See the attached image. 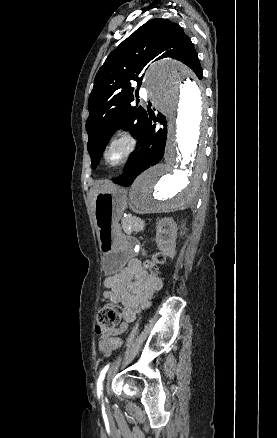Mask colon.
Here are the masks:
<instances>
[{
    "label": "colon",
    "instance_id": "1",
    "mask_svg": "<svg viewBox=\"0 0 277 438\" xmlns=\"http://www.w3.org/2000/svg\"><path fill=\"white\" fill-rule=\"evenodd\" d=\"M165 254L163 252L156 254L154 261L148 262L147 265L151 266L150 269L155 271L153 267L155 263L163 261ZM120 309L112 304H107L101 307L98 311L96 319V329L102 334H106L108 337V343L111 347H119L121 345V339L112 335V330L116 327L119 318Z\"/></svg>",
    "mask_w": 277,
    "mask_h": 438
}]
</instances>
